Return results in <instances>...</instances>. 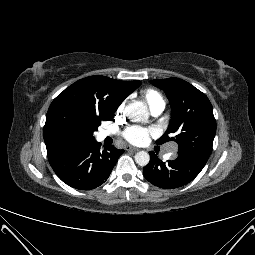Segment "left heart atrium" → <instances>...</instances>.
Masks as SVG:
<instances>
[{
  "instance_id": "left-heart-atrium-1",
  "label": "left heart atrium",
  "mask_w": 255,
  "mask_h": 255,
  "mask_svg": "<svg viewBox=\"0 0 255 255\" xmlns=\"http://www.w3.org/2000/svg\"><path fill=\"white\" fill-rule=\"evenodd\" d=\"M152 134H154V131L151 129L140 126H131L125 130L124 137L131 144L142 145L149 140V137Z\"/></svg>"
}]
</instances>
